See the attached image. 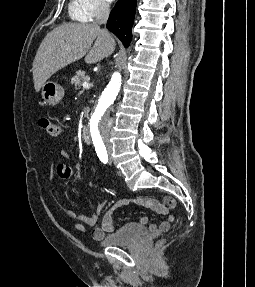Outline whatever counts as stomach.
Here are the masks:
<instances>
[{"instance_id": "1", "label": "stomach", "mask_w": 255, "mask_h": 287, "mask_svg": "<svg viewBox=\"0 0 255 287\" xmlns=\"http://www.w3.org/2000/svg\"><path fill=\"white\" fill-rule=\"evenodd\" d=\"M41 96L48 106H57L64 96V90L56 82H45L42 86Z\"/></svg>"}]
</instances>
